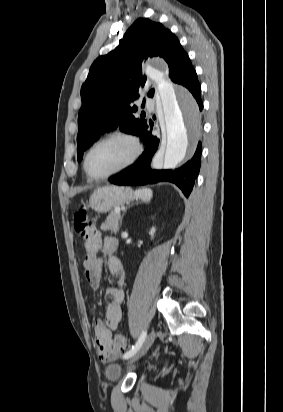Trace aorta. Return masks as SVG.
<instances>
[{"label": "aorta", "instance_id": "obj_1", "mask_svg": "<svg viewBox=\"0 0 283 412\" xmlns=\"http://www.w3.org/2000/svg\"><path fill=\"white\" fill-rule=\"evenodd\" d=\"M145 73L156 84L162 105L166 134L162 165L172 169L185 158L197 138L199 110L191 94L185 89L176 91L163 72L148 66Z\"/></svg>", "mask_w": 283, "mask_h": 412}]
</instances>
